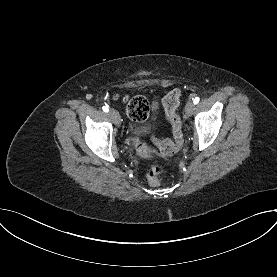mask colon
I'll list each match as a JSON object with an SVG mask.
<instances>
[{
    "label": "colon",
    "mask_w": 277,
    "mask_h": 277,
    "mask_svg": "<svg viewBox=\"0 0 277 277\" xmlns=\"http://www.w3.org/2000/svg\"><path fill=\"white\" fill-rule=\"evenodd\" d=\"M181 97V91L174 89L170 91L163 99L165 113L171 123L174 141L169 139L154 138V142L159 147L162 154L172 156L180 147L183 141L182 123L176 112ZM126 104L127 115L130 119L142 122L149 118L150 111L148 102L141 96L126 97L123 99ZM136 148L143 157L148 156L146 145L141 141H136ZM164 178V169L160 165L151 166L147 173L146 179L151 186L159 185Z\"/></svg>",
    "instance_id": "colon-1"
}]
</instances>
